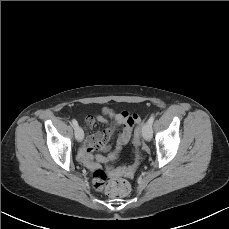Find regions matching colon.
<instances>
[{"label":"colon","mask_w":229,"mask_h":229,"mask_svg":"<svg viewBox=\"0 0 229 229\" xmlns=\"http://www.w3.org/2000/svg\"><path fill=\"white\" fill-rule=\"evenodd\" d=\"M140 121H137L135 125H138ZM134 143L136 146V157L137 161L135 165L127 170V174L131 175L134 173L135 168L139 161V146L142 143V131L141 127L137 126L134 133ZM93 184L98 189H105L107 194L115 199H123L131 193V186L129 182L123 178H115L112 180L108 179L107 173L103 169H96L93 172Z\"/></svg>","instance_id":"obj_1"}]
</instances>
